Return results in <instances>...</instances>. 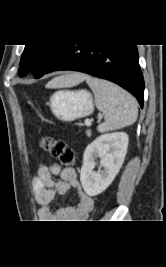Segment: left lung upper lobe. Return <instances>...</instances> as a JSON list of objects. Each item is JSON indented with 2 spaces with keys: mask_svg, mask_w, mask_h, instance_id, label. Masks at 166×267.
<instances>
[{
  "mask_svg": "<svg viewBox=\"0 0 166 267\" xmlns=\"http://www.w3.org/2000/svg\"><path fill=\"white\" fill-rule=\"evenodd\" d=\"M63 45H26L21 56L19 75L31 71L35 78L41 77L50 66Z\"/></svg>",
  "mask_w": 166,
  "mask_h": 267,
  "instance_id": "5c2ea615",
  "label": "left lung upper lobe"
}]
</instances>
